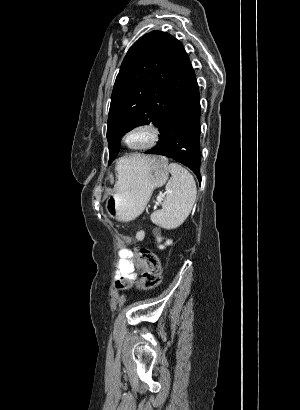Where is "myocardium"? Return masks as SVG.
<instances>
[{"label":"myocardium","mask_w":300,"mask_h":410,"mask_svg":"<svg viewBox=\"0 0 300 410\" xmlns=\"http://www.w3.org/2000/svg\"><path fill=\"white\" fill-rule=\"evenodd\" d=\"M139 132L145 133L148 136V139L140 145H130L127 141L128 137L134 133ZM160 139L161 130L157 125L151 122H141L135 124L134 126L130 127L127 131H125V133L122 135L121 141L122 144L129 150L143 151L155 147L159 143Z\"/></svg>","instance_id":"f54148a6"}]
</instances>
